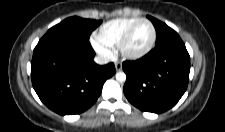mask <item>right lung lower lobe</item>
Here are the masks:
<instances>
[{"label":"right lung lower lobe","mask_w":225,"mask_h":132,"mask_svg":"<svg viewBox=\"0 0 225 132\" xmlns=\"http://www.w3.org/2000/svg\"><path fill=\"white\" fill-rule=\"evenodd\" d=\"M89 41L42 38L33 52L31 79L40 100L61 115L79 114L99 97L115 73L113 63L97 65Z\"/></svg>","instance_id":"right-lung-lower-lobe-1"}]
</instances>
